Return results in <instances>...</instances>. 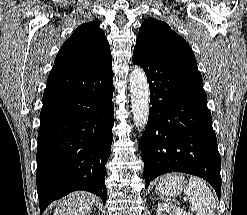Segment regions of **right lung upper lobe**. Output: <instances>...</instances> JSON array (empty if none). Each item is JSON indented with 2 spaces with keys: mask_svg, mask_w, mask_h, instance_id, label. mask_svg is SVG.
<instances>
[{
  "mask_svg": "<svg viewBox=\"0 0 247 215\" xmlns=\"http://www.w3.org/2000/svg\"><path fill=\"white\" fill-rule=\"evenodd\" d=\"M111 56L108 40L96 20L80 25L64 42L55 66L86 70Z\"/></svg>",
  "mask_w": 247,
  "mask_h": 215,
  "instance_id": "obj_1",
  "label": "right lung upper lobe"
}]
</instances>
